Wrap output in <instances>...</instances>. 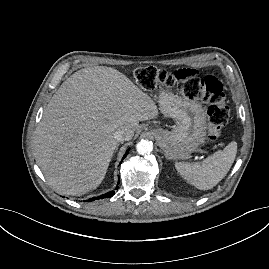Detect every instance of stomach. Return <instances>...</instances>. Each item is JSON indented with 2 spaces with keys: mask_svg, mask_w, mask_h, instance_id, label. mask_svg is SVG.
Returning <instances> with one entry per match:
<instances>
[{
  "mask_svg": "<svg viewBox=\"0 0 269 269\" xmlns=\"http://www.w3.org/2000/svg\"><path fill=\"white\" fill-rule=\"evenodd\" d=\"M160 111L176 121L171 131L152 129L157 144L167 159H186L206 140V115L200 103L171 92H161Z\"/></svg>",
  "mask_w": 269,
  "mask_h": 269,
  "instance_id": "1",
  "label": "stomach"
}]
</instances>
